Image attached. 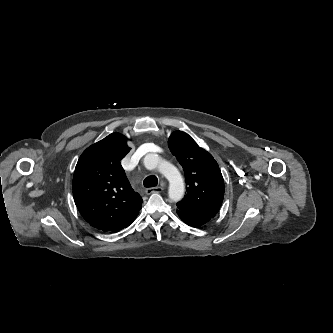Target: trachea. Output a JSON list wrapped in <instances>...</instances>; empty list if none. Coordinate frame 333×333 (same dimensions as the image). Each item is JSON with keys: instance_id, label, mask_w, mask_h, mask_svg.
I'll return each instance as SVG.
<instances>
[{"instance_id": "1", "label": "trachea", "mask_w": 333, "mask_h": 333, "mask_svg": "<svg viewBox=\"0 0 333 333\" xmlns=\"http://www.w3.org/2000/svg\"><path fill=\"white\" fill-rule=\"evenodd\" d=\"M143 184L145 187L150 188V187H155L158 184V179L156 176H148L144 179Z\"/></svg>"}]
</instances>
